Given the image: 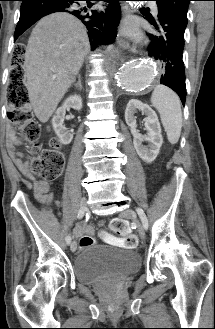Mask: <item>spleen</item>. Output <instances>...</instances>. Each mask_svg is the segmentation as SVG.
<instances>
[{
    "label": "spleen",
    "mask_w": 215,
    "mask_h": 329,
    "mask_svg": "<svg viewBox=\"0 0 215 329\" xmlns=\"http://www.w3.org/2000/svg\"><path fill=\"white\" fill-rule=\"evenodd\" d=\"M152 106L159 112L168 141L176 144L182 128V111L177 94L164 85L155 87L151 96Z\"/></svg>",
    "instance_id": "spleen-1"
}]
</instances>
